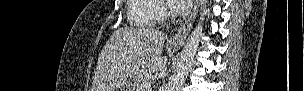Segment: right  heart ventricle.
<instances>
[{
    "mask_svg": "<svg viewBox=\"0 0 304 91\" xmlns=\"http://www.w3.org/2000/svg\"><path fill=\"white\" fill-rule=\"evenodd\" d=\"M160 2L157 0H130L128 20L138 28L155 27L159 21Z\"/></svg>",
    "mask_w": 304,
    "mask_h": 91,
    "instance_id": "right-heart-ventricle-1",
    "label": "right heart ventricle"
}]
</instances>
